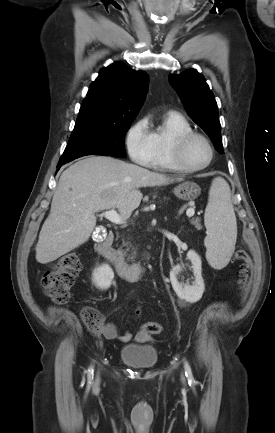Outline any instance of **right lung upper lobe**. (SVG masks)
<instances>
[{
    "label": "right lung upper lobe",
    "mask_w": 275,
    "mask_h": 433,
    "mask_svg": "<svg viewBox=\"0 0 275 433\" xmlns=\"http://www.w3.org/2000/svg\"><path fill=\"white\" fill-rule=\"evenodd\" d=\"M148 76L121 62L100 70L82 102L77 121L133 120L144 101Z\"/></svg>",
    "instance_id": "cb5924a9"
}]
</instances>
